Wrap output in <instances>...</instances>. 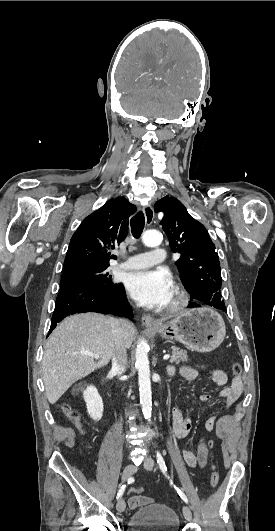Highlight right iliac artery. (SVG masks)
Masks as SVG:
<instances>
[{
    "mask_svg": "<svg viewBox=\"0 0 275 531\" xmlns=\"http://www.w3.org/2000/svg\"><path fill=\"white\" fill-rule=\"evenodd\" d=\"M129 480H132V479H129ZM129 482V481H128ZM125 488H126V485H122L117 493V499L121 498V496L123 495L124 491H125Z\"/></svg>",
    "mask_w": 275,
    "mask_h": 531,
    "instance_id": "right-iliac-artery-1",
    "label": "right iliac artery"
}]
</instances>
